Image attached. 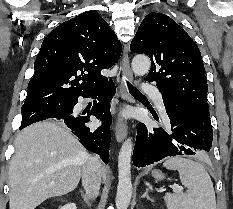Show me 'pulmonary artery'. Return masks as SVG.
<instances>
[{"instance_id": "e3ab8cb5", "label": "pulmonary artery", "mask_w": 233, "mask_h": 209, "mask_svg": "<svg viewBox=\"0 0 233 209\" xmlns=\"http://www.w3.org/2000/svg\"><path fill=\"white\" fill-rule=\"evenodd\" d=\"M142 90L153 97L155 105L160 109L162 115L166 117L163 98L160 91L149 83L144 84Z\"/></svg>"}]
</instances>
